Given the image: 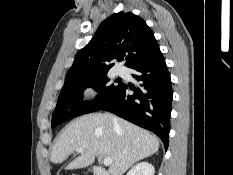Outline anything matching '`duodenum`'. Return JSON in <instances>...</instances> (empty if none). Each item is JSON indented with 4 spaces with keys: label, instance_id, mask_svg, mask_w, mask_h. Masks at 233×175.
<instances>
[{
    "label": "duodenum",
    "instance_id": "obj_1",
    "mask_svg": "<svg viewBox=\"0 0 233 175\" xmlns=\"http://www.w3.org/2000/svg\"><path fill=\"white\" fill-rule=\"evenodd\" d=\"M93 175H109V173L102 167L93 166L92 167Z\"/></svg>",
    "mask_w": 233,
    "mask_h": 175
}]
</instances>
